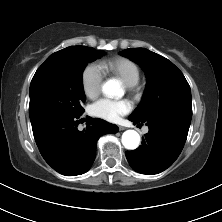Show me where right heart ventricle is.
I'll return each instance as SVG.
<instances>
[{
    "label": "right heart ventricle",
    "instance_id": "obj_1",
    "mask_svg": "<svg viewBox=\"0 0 222 222\" xmlns=\"http://www.w3.org/2000/svg\"><path fill=\"white\" fill-rule=\"evenodd\" d=\"M104 72L119 77L126 86H135L140 80V68L132 60L117 57L101 63Z\"/></svg>",
    "mask_w": 222,
    "mask_h": 222
}]
</instances>
